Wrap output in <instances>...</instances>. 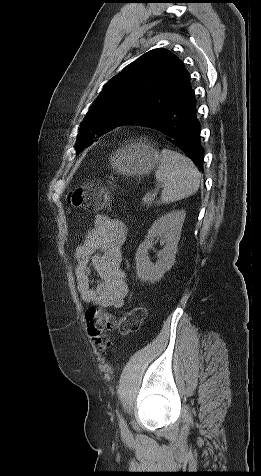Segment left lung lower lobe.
Instances as JSON below:
<instances>
[{
  "mask_svg": "<svg viewBox=\"0 0 261 476\" xmlns=\"http://www.w3.org/2000/svg\"><path fill=\"white\" fill-rule=\"evenodd\" d=\"M164 134L173 146L182 150L195 165L202 167L204 150L200 143V123L191 89L163 112L139 123Z\"/></svg>",
  "mask_w": 261,
  "mask_h": 476,
  "instance_id": "1",
  "label": "left lung lower lobe"
}]
</instances>
